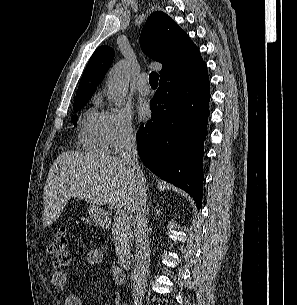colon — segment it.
<instances>
[{"instance_id": "5ec220e1", "label": "colon", "mask_w": 297, "mask_h": 305, "mask_svg": "<svg viewBox=\"0 0 297 305\" xmlns=\"http://www.w3.org/2000/svg\"><path fill=\"white\" fill-rule=\"evenodd\" d=\"M48 252L52 263L56 267H65L71 263V255L68 249V239L65 228L59 229L48 246Z\"/></svg>"}]
</instances>
